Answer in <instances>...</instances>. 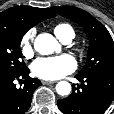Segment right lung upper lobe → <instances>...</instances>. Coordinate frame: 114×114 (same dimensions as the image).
Segmentation results:
<instances>
[{
  "mask_svg": "<svg viewBox=\"0 0 114 114\" xmlns=\"http://www.w3.org/2000/svg\"><path fill=\"white\" fill-rule=\"evenodd\" d=\"M55 16V12L50 8L15 6L0 13V27L27 32L43 20Z\"/></svg>",
  "mask_w": 114,
  "mask_h": 114,
  "instance_id": "obj_1",
  "label": "right lung upper lobe"
}]
</instances>
